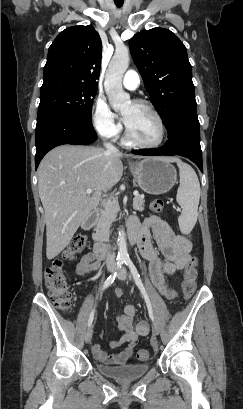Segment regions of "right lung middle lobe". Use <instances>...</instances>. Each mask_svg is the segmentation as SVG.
<instances>
[{
    "mask_svg": "<svg viewBox=\"0 0 243 409\" xmlns=\"http://www.w3.org/2000/svg\"><path fill=\"white\" fill-rule=\"evenodd\" d=\"M97 88L62 79L44 80L40 92L37 122L52 116L91 123Z\"/></svg>",
    "mask_w": 243,
    "mask_h": 409,
    "instance_id": "1",
    "label": "right lung middle lobe"
}]
</instances>
